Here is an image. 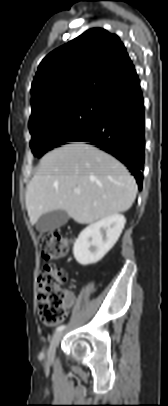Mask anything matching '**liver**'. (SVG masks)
Listing matches in <instances>:
<instances>
[{"instance_id": "liver-1", "label": "liver", "mask_w": 168, "mask_h": 406, "mask_svg": "<svg viewBox=\"0 0 168 406\" xmlns=\"http://www.w3.org/2000/svg\"><path fill=\"white\" fill-rule=\"evenodd\" d=\"M80 189L81 193H74ZM137 194L128 170L111 155L85 143H71L47 153L26 189L31 224L41 215L64 210L89 224L127 211Z\"/></svg>"}]
</instances>
